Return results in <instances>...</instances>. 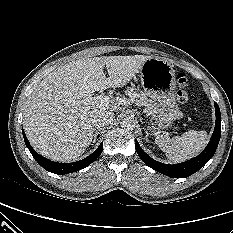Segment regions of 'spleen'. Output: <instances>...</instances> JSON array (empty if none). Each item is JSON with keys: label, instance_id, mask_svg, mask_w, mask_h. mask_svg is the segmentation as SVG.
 I'll use <instances>...</instances> for the list:
<instances>
[{"label": "spleen", "instance_id": "3e777b00", "mask_svg": "<svg viewBox=\"0 0 233 233\" xmlns=\"http://www.w3.org/2000/svg\"><path fill=\"white\" fill-rule=\"evenodd\" d=\"M155 142L168 159L182 162L202 151L208 142V134L205 130H190L179 137L157 136Z\"/></svg>", "mask_w": 233, "mask_h": 233}]
</instances>
